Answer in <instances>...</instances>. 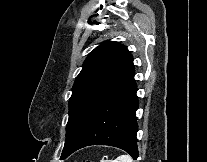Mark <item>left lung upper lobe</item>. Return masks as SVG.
<instances>
[{
  "label": "left lung upper lobe",
  "mask_w": 207,
  "mask_h": 162,
  "mask_svg": "<svg viewBox=\"0 0 207 162\" xmlns=\"http://www.w3.org/2000/svg\"><path fill=\"white\" fill-rule=\"evenodd\" d=\"M134 73L132 55L118 42H103L88 55L72 88L62 155L75 142L97 108Z\"/></svg>",
  "instance_id": "5c2ea615"
}]
</instances>
